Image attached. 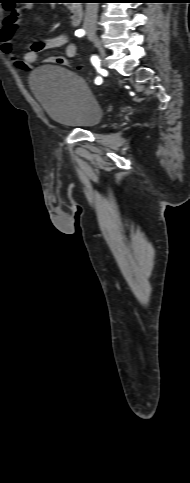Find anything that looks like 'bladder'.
<instances>
[{
	"instance_id": "31cf9c89",
	"label": "bladder",
	"mask_w": 190,
	"mask_h": 483,
	"mask_svg": "<svg viewBox=\"0 0 190 483\" xmlns=\"http://www.w3.org/2000/svg\"><path fill=\"white\" fill-rule=\"evenodd\" d=\"M30 88L53 120L81 129L96 126L102 107L82 77L61 65H45L30 76Z\"/></svg>"
}]
</instances>
